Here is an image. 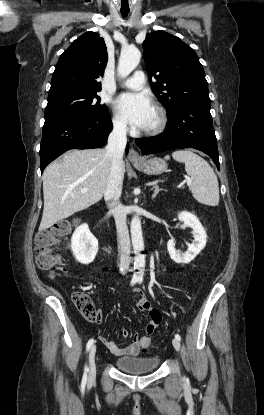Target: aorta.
<instances>
[{
    "mask_svg": "<svg viewBox=\"0 0 264 415\" xmlns=\"http://www.w3.org/2000/svg\"><path fill=\"white\" fill-rule=\"evenodd\" d=\"M141 52L137 48H128L121 52L118 63V74L120 77H127L139 64ZM131 239L134 250V266L136 268L145 267L144 241L141 228V220L134 216L131 220Z\"/></svg>",
    "mask_w": 264,
    "mask_h": 415,
    "instance_id": "762f6f07",
    "label": "aorta"
}]
</instances>
